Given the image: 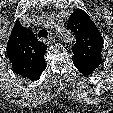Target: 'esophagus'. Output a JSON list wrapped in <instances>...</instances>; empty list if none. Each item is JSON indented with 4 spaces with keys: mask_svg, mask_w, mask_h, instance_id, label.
Wrapping results in <instances>:
<instances>
[{
    "mask_svg": "<svg viewBox=\"0 0 113 113\" xmlns=\"http://www.w3.org/2000/svg\"><path fill=\"white\" fill-rule=\"evenodd\" d=\"M47 44H53L55 42L54 36L50 35L48 39L45 40Z\"/></svg>",
    "mask_w": 113,
    "mask_h": 113,
    "instance_id": "obj_1",
    "label": "esophagus"
}]
</instances>
